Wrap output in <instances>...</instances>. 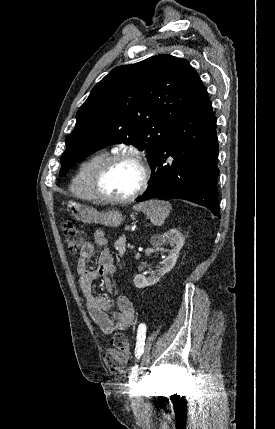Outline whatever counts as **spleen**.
Instances as JSON below:
<instances>
[{
	"label": "spleen",
	"instance_id": "obj_1",
	"mask_svg": "<svg viewBox=\"0 0 275 429\" xmlns=\"http://www.w3.org/2000/svg\"><path fill=\"white\" fill-rule=\"evenodd\" d=\"M171 208V204L164 200H149L134 206V210L146 214L155 226L165 222Z\"/></svg>",
	"mask_w": 275,
	"mask_h": 429
}]
</instances>
